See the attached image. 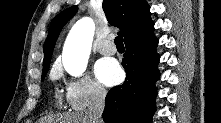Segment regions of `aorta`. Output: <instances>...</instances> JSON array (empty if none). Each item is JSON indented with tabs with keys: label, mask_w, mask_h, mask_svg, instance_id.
I'll return each mask as SVG.
<instances>
[{
	"label": "aorta",
	"mask_w": 221,
	"mask_h": 123,
	"mask_svg": "<svg viewBox=\"0 0 221 123\" xmlns=\"http://www.w3.org/2000/svg\"><path fill=\"white\" fill-rule=\"evenodd\" d=\"M95 25L91 18L78 20L71 28L62 53L65 70L73 75H81L87 67Z\"/></svg>",
	"instance_id": "1"
}]
</instances>
